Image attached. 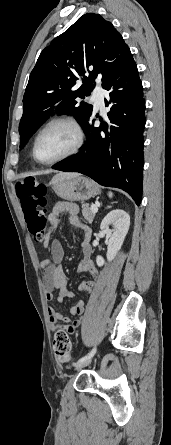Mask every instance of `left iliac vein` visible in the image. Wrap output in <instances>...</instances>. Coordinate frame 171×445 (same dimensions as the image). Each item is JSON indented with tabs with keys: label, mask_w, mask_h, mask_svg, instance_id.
Returning a JSON list of instances; mask_svg holds the SVG:
<instances>
[{
	"label": "left iliac vein",
	"mask_w": 171,
	"mask_h": 445,
	"mask_svg": "<svg viewBox=\"0 0 171 445\" xmlns=\"http://www.w3.org/2000/svg\"><path fill=\"white\" fill-rule=\"evenodd\" d=\"M93 356H94V355H93ZM93 356L90 357V358H88V359H86V360H84L83 362L77 364V365L75 366V369H76V370H80V369H82V368L88 366V365L92 362Z\"/></svg>",
	"instance_id": "4c4485c4"
}]
</instances>
